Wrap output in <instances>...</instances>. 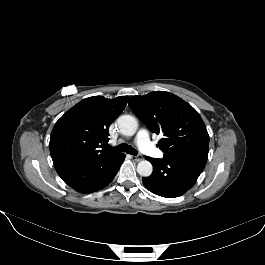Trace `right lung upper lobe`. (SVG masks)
Segmentation results:
<instances>
[{
  "mask_svg": "<svg viewBox=\"0 0 265 265\" xmlns=\"http://www.w3.org/2000/svg\"><path fill=\"white\" fill-rule=\"evenodd\" d=\"M127 99L93 96L69 109L51 133L49 147L54 166L119 153L103 147L109 140V126L124 110Z\"/></svg>",
  "mask_w": 265,
  "mask_h": 265,
  "instance_id": "obj_1",
  "label": "right lung upper lobe"
}]
</instances>
